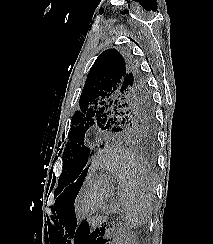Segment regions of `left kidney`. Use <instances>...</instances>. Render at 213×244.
<instances>
[{"label":"left kidney","mask_w":213,"mask_h":244,"mask_svg":"<svg viewBox=\"0 0 213 244\" xmlns=\"http://www.w3.org/2000/svg\"><path fill=\"white\" fill-rule=\"evenodd\" d=\"M113 244H135L134 236L131 233L119 234L114 240Z\"/></svg>","instance_id":"obj_1"}]
</instances>
